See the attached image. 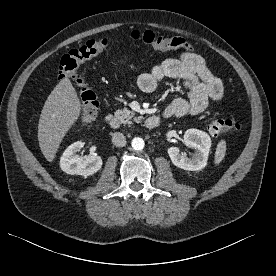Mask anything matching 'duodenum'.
<instances>
[{
	"label": "duodenum",
	"mask_w": 276,
	"mask_h": 276,
	"mask_svg": "<svg viewBox=\"0 0 276 276\" xmlns=\"http://www.w3.org/2000/svg\"><path fill=\"white\" fill-rule=\"evenodd\" d=\"M106 122L112 129H119L121 126V121L118 117L113 116L112 114H108L106 116ZM163 120V117L161 116H150L145 120V126L148 129H154L159 126L161 121Z\"/></svg>",
	"instance_id": "duodenum-1"
}]
</instances>
